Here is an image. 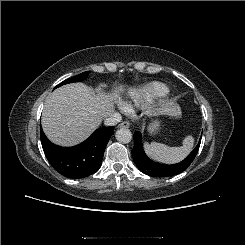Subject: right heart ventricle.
I'll list each match as a JSON object with an SVG mask.
<instances>
[{
	"instance_id": "obj_1",
	"label": "right heart ventricle",
	"mask_w": 245,
	"mask_h": 245,
	"mask_svg": "<svg viewBox=\"0 0 245 245\" xmlns=\"http://www.w3.org/2000/svg\"><path fill=\"white\" fill-rule=\"evenodd\" d=\"M169 89L159 82H152L142 87L131 89L123 106L128 109L131 105L141 106L150 103L152 100L167 96Z\"/></svg>"
}]
</instances>
